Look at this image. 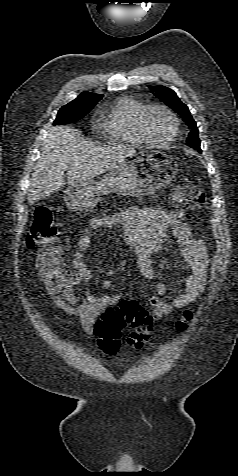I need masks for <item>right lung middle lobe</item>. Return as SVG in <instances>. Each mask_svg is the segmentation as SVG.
I'll use <instances>...</instances> for the list:
<instances>
[{"mask_svg":"<svg viewBox=\"0 0 238 476\" xmlns=\"http://www.w3.org/2000/svg\"><path fill=\"white\" fill-rule=\"evenodd\" d=\"M95 105H75L68 103L57 114L54 124H68L84 117Z\"/></svg>","mask_w":238,"mask_h":476,"instance_id":"dd1d6c3e","label":"right lung middle lobe"}]
</instances>
